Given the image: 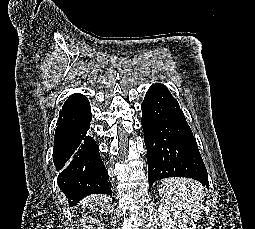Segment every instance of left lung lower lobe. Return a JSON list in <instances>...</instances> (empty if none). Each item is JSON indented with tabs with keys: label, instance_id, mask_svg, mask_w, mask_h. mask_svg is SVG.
I'll list each match as a JSON object with an SVG mask.
<instances>
[{
	"label": "left lung lower lobe",
	"instance_id": "1",
	"mask_svg": "<svg viewBox=\"0 0 255 229\" xmlns=\"http://www.w3.org/2000/svg\"><path fill=\"white\" fill-rule=\"evenodd\" d=\"M141 109L149 188L156 180L168 177L193 178L209 188L207 170L192 130L167 87L153 84Z\"/></svg>",
	"mask_w": 255,
	"mask_h": 229
}]
</instances>
